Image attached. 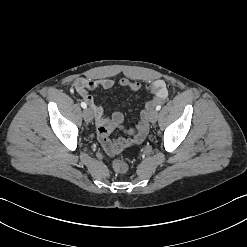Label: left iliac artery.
Returning <instances> with one entry per match:
<instances>
[{
    "instance_id": "obj_1",
    "label": "left iliac artery",
    "mask_w": 247,
    "mask_h": 247,
    "mask_svg": "<svg viewBox=\"0 0 247 247\" xmlns=\"http://www.w3.org/2000/svg\"><path fill=\"white\" fill-rule=\"evenodd\" d=\"M161 109V105L156 106V110L159 111Z\"/></svg>"
}]
</instances>
